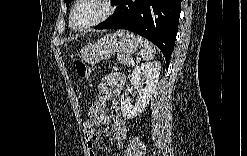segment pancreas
Here are the masks:
<instances>
[{"mask_svg":"<svg viewBox=\"0 0 247 156\" xmlns=\"http://www.w3.org/2000/svg\"><path fill=\"white\" fill-rule=\"evenodd\" d=\"M117 59L120 61V63L124 64V65H128L129 64V60L132 59L130 55H125V54H121L118 53L117 54Z\"/></svg>","mask_w":247,"mask_h":156,"instance_id":"1","label":"pancreas"}]
</instances>
